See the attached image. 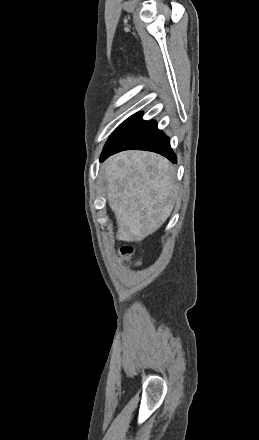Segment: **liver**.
<instances>
[{"instance_id":"6515ba94","label":"liver","mask_w":259,"mask_h":440,"mask_svg":"<svg viewBox=\"0 0 259 440\" xmlns=\"http://www.w3.org/2000/svg\"><path fill=\"white\" fill-rule=\"evenodd\" d=\"M107 200L115 214L117 239L140 242L170 216L177 195L175 169L155 153L125 151L102 167Z\"/></svg>"}]
</instances>
